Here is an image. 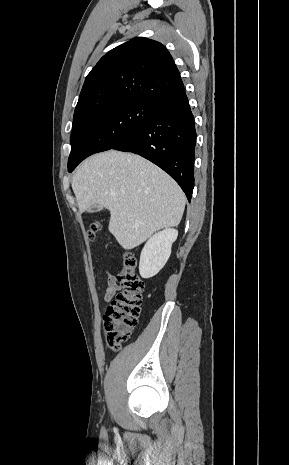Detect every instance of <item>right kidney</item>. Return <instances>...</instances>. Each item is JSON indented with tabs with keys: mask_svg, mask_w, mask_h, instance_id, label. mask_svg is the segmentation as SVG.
<instances>
[{
	"mask_svg": "<svg viewBox=\"0 0 289 465\" xmlns=\"http://www.w3.org/2000/svg\"><path fill=\"white\" fill-rule=\"evenodd\" d=\"M177 236V230L166 228L149 238L140 255L139 272L142 278H151L164 267Z\"/></svg>",
	"mask_w": 289,
	"mask_h": 465,
	"instance_id": "ca27d5eb",
	"label": "right kidney"
}]
</instances>
